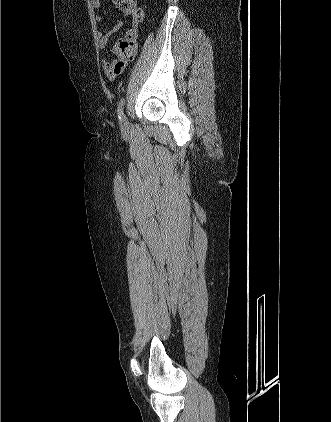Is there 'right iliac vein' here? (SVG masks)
Instances as JSON below:
<instances>
[{"label": "right iliac vein", "instance_id": "1", "mask_svg": "<svg viewBox=\"0 0 331 422\" xmlns=\"http://www.w3.org/2000/svg\"><path fill=\"white\" fill-rule=\"evenodd\" d=\"M120 127L122 130H126L128 127V122H127V118L125 115H123L121 121H120Z\"/></svg>", "mask_w": 331, "mask_h": 422}]
</instances>
